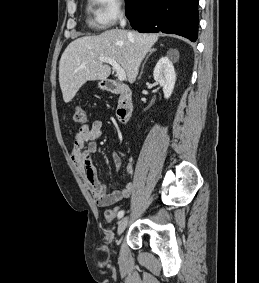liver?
<instances>
[{
	"label": "liver",
	"instance_id": "liver-1",
	"mask_svg": "<svg viewBox=\"0 0 259 283\" xmlns=\"http://www.w3.org/2000/svg\"><path fill=\"white\" fill-rule=\"evenodd\" d=\"M158 34L138 33L121 29L107 30L97 36L80 37L63 52L59 63V83L65 103H69L87 81L106 80L111 73L101 57L114 59L134 83L140 64Z\"/></svg>",
	"mask_w": 259,
	"mask_h": 283
}]
</instances>
